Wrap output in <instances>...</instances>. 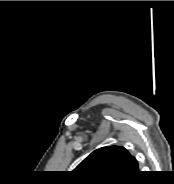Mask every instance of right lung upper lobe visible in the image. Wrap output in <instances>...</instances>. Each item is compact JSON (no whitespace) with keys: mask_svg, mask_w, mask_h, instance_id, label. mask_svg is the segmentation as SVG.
<instances>
[{"mask_svg":"<svg viewBox=\"0 0 174 184\" xmlns=\"http://www.w3.org/2000/svg\"><path fill=\"white\" fill-rule=\"evenodd\" d=\"M74 172L89 181L120 182L130 180L139 170L136 159L125 148L109 146L92 152Z\"/></svg>","mask_w":174,"mask_h":184,"instance_id":"obj_1","label":"right lung upper lobe"}]
</instances>
